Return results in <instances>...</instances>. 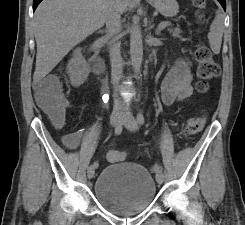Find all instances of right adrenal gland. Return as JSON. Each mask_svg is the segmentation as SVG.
I'll return each instance as SVG.
<instances>
[{"label": "right adrenal gland", "instance_id": "right-adrenal-gland-1", "mask_svg": "<svg viewBox=\"0 0 245 225\" xmlns=\"http://www.w3.org/2000/svg\"><path fill=\"white\" fill-rule=\"evenodd\" d=\"M106 31L105 30H100L98 33L104 34Z\"/></svg>", "mask_w": 245, "mask_h": 225}]
</instances>
